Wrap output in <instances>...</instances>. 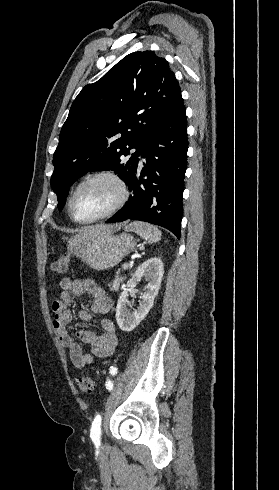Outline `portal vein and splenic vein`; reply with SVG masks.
Returning <instances> with one entry per match:
<instances>
[{
  "mask_svg": "<svg viewBox=\"0 0 279 490\" xmlns=\"http://www.w3.org/2000/svg\"><path fill=\"white\" fill-rule=\"evenodd\" d=\"M123 268H124V270H127L128 264H123Z\"/></svg>",
  "mask_w": 279,
  "mask_h": 490,
  "instance_id": "18ae733b",
  "label": "portal vein and splenic vein"
}]
</instances>
